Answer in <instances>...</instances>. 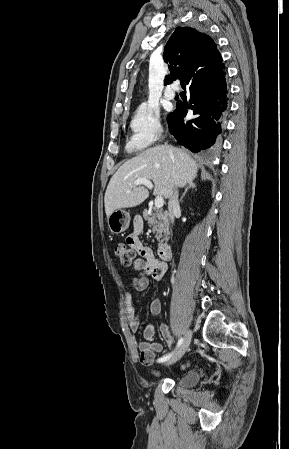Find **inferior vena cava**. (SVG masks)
I'll return each instance as SVG.
<instances>
[{
	"instance_id": "1",
	"label": "inferior vena cava",
	"mask_w": 289,
	"mask_h": 449,
	"mask_svg": "<svg viewBox=\"0 0 289 449\" xmlns=\"http://www.w3.org/2000/svg\"><path fill=\"white\" fill-rule=\"evenodd\" d=\"M179 210L178 190L177 187H174L168 201L169 217L172 224L174 223L175 215L179 212Z\"/></svg>"
}]
</instances>
